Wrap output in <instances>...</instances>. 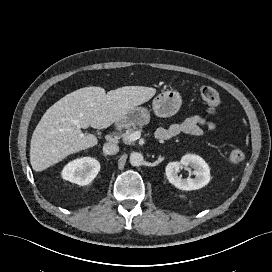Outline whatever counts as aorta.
I'll use <instances>...</instances> for the list:
<instances>
[{"label": "aorta", "instance_id": "762f6f07", "mask_svg": "<svg viewBox=\"0 0 272 272\" xmlns=\"http://www.w3.org/2000/svg\"><path fill=\"white\" fill-rule=\"evenodd\" d=\"M130 164L135 167H139L144 162V157L141 153L133 152L129 158Z\"/></svg>", "mask_w": 272, "mask_h": 272}]
</instances>
